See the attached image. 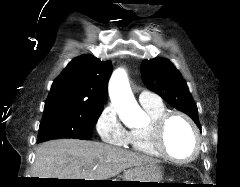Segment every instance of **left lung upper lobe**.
Here are the masks:
<instances>
[{
	"label": "left lung upper lobe",
	"mask_w": 240,
	"mask_h": 187,
	"mask_svg": "<svg viewBox=\"0 0 240 187\" xmlns=\"http://www.w3.org/2000/svg\"><path fill=\"white\" fill-rule=\"evenodd\" d=\"M141 75L148 89L160 95L167 103L184 112L201 128L198 109L185 80L175 66L165 58L144 60Z\"/></svg>",
	"instance_id": "left-lung-upper-lobe-1"
}]
</instances>
